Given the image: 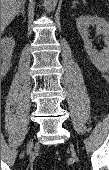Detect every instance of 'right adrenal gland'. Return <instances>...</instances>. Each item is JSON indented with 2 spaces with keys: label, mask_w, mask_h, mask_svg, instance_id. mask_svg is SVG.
<instances>
[{
  "label": "right adrenal gland",
  "mask_w": 109,
  "mask_h": 170,
  "mask_svg": "<svg viewBox=\"0 0 109 170\" xmlns=\"http://www.w3.org/2000/svg\"><path fill=\"white\" fill-rule=\"evenodd\" d=\"M24 5H25V0L23 1L22 5H21V9L17 13V16H19L20 13H22L23 16L25 15V7H24Z\"/></svg>",
  "instance_id": "1"
}]
</instances>
